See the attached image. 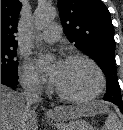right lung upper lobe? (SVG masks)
I'll list each match as a JSON object with an SVG mask.
<instances>
[{"label":"right lung upper lobe","instance_id":"cb5924a9","mask_svg":"<svg viewBox=\"0 0 123 130\" xmlns=\"http://www.w3.org/2000/svg\"><path fill=\"white\" fill-rule=\"evenodd\" d=\"M21 7L19 0H1V46L17 47L15 33Z\"/></svg>","mask_w":123,"mask_h":130}]
</instances>
